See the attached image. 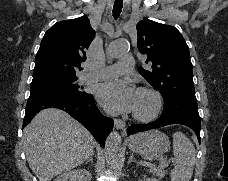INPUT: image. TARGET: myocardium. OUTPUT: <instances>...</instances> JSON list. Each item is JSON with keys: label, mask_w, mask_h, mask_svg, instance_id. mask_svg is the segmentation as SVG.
<instances>
[{"label": "myocardium", "mask_w": 228, "mask_h": 181, "mask_svg": "<svg viewBox=\"0 0 228 181\" xmlns=\"http://www.w3.org/2000/svg\"><path fill=\"white\" fill-rule=\"evenodd\" d=\"M137 91L139 93L140 92L148 93L153 99V106L148 113H140V112L136 111L134 113L135 118L140 121L153 120L158 115V113L160 112V109L162 107L161 94L157 90L150 88V87H141V88H138Z\"/></svg>", "instance_id": "1"}]
</instances>
